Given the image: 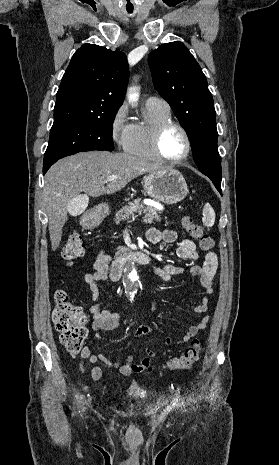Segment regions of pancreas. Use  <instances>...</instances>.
Wrapping results in <instances>:
<instances>
[{"mask_svg": "<svg viewBox=\"0 0 279 465\" xmlns=\"http://www.w3.org/2000/svg\"><path fill=\"white\" fill-rule=\"evenodd\" d=\"M140 201V199H136L130 202L128 206L121 208L115 215V223L119 224L121 221L133 217L135 214H145L144 221L149 224L154 221H161V212L158 209L154 206L144 205Z\"/></svg>", "mask_w": 279, "mask_h": 465, "instance_id": "cf45deb5", "label": "pancreas"}]
</instances>
